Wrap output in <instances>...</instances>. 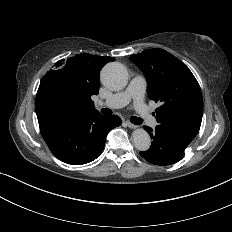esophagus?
<instances>
[{
    "mask_svg": "<svg viewBox=\"0 0 232 232\" xmlns=\"http://www.w3.org/2000/svg\"><path fill=\"white\" fill-rule=\"evenodd\" d=\"M126 125L132 129H135L137 127L135 124H132L130 121H126Z\"/></svg>",
    "mask_w": 232,
    "mask_h": 232,
    "instance_id": "esophagus-1",
    "label": "esophagus"
}]
</instances>
